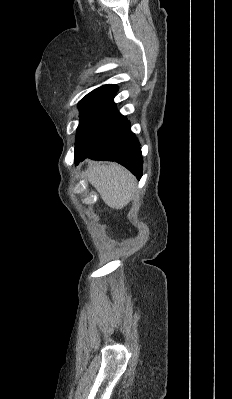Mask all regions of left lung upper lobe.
Here are the masks:
<instances>
[{
    "label": "left lung upper lobe",
    "mask_w": 232,
    "mask_h": 399,
    "mask_svg": "<svg viewBox=\"0 0 232 399\" xmlns=\"http://www.w3.org/2000/svg\"><path fill=\"white\" fill-rule=\"evenodd\" d=\"M117 90L116 85H103L78 103L81 118L76 133L74 161L102 145L125 121L126 118L113 102Z\"/></svg>",
    "instance_id": "left-lung-upper-lobe-1"
}]
</instances>
